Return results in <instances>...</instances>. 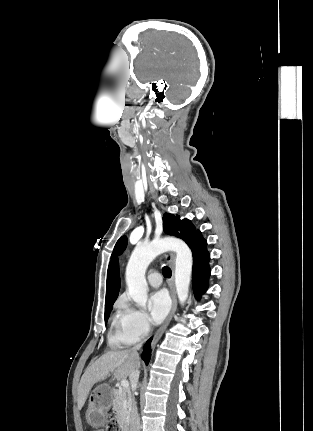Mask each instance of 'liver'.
<instances>
[{
  "instance_id": "1",
  "label": "liver",
  "mask_w": 313,
  "mask_h": 431,
  "mask_svg": "<svg viewBox=\"0 0 313 431\" xmlns=\"http://www.w3.org/2000/svg\"><path fill=\"white\" fill-rule=\"evenodd\" d=\"M140 366V358L131 350L109 351L93 362L84 372L77 392L78 409H82L94 384L103 381L113 372L117 380H126Z\"/></svg>"
}]
</instances>
